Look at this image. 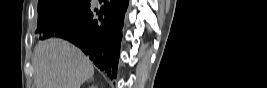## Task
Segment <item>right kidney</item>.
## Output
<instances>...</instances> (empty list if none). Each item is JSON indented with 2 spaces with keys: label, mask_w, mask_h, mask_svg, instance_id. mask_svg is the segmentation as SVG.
<instances>
[{
  "label": "right kidney",
  "mask_w": 267,
  "mask_h": 88,
  "mask_svg": "<svg viewBox=\"0 0 267 88\" xmlns=\"http://www.w3.org/2000/svg\"><path fill=\"white\" fill-rule=\"evenodd\" d=\"M90 88H97V86H95V85H92V86H90Z\"/></svg>",
  "instance_id": "1"
}]
</instances>
